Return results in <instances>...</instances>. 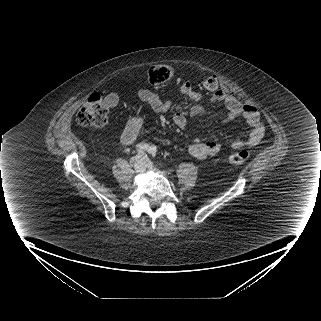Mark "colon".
<instances>
[{
	"label": "colon",
	"instance_id": "colon-1",
	"mask_svg": "<svg viewBox=\"0 0 321 321\" xmlns=\"http://www.w3.org/2000/svg\"><path fill=\"white\" fill-rule=\"evenodd\" d=\"M173 76V69L168 65H156L149 69L148 77L152 83H164ZM204 89L214 92L218 89L219 82L215 76L206 78L202 83ZM109 106L100 94H92L79 109L76 119L84 127H102L106 124ZM250 154L247 150L231 153L227 161L231 165H242L247 162Z\"/></svg>",
	"mask_w": 321,
	"mask_h": 321
}]
</instances>
